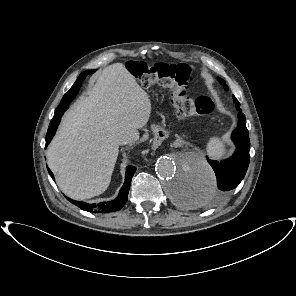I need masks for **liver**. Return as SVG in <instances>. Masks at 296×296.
<instances>
[{
	"instance_id": "6515ba94",
	"label": "liver",
	"mask_w": 296,
	"mask_h": 296,
	"mask_svg": "<svg viewBox=\"0 0 296 296\" xmlns=\"http://www.w3.org/2000/svg\"><path fill=\"white\" fill-rule=\"evenodd\" d=\"M151 114L147 93L121 63L106 67L96 84L66 113L47 150L59 188L77 200L102 194L118 157L119 137L135 134Z\"/></svg>"
}]
</instances>
